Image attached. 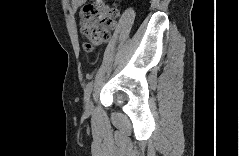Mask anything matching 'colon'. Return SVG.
<instances>
[{"instance_id": "1", "label": "colon", "mask_w": 239, "mask_h": 156, "mask_svg": "<svg viewBox=\"0 0 239 156\" xmlns=\"http://www.w3.org/2000/svg\"><path fill=\"white\" fill-rule=\"evenodd\" d=\"M118 10L102 3H87L80 10V31L88 39V49L104 44L110 37Z\"/></svg>"}]
</instances>
